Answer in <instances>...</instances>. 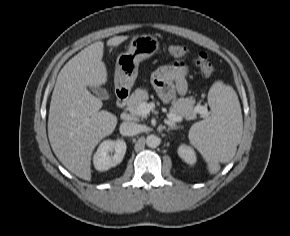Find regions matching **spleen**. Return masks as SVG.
Segmentation results:
<instances>
[{
	"mask_svg": "<svg viewBox=\"0 0 290 236\" xmlns=\"http://www.w3.org/2000/svg\"><path fill=\"white\" fill-rule=\"evenodd\" d=\"M208 103L211 115L193 124L188 136L207 162L209 173L216 174L220 162L234 157L242 137L243 120L238 96L230 85L215 82L209 90Z\"/></svg>",
	"mask_w": 290,
	"mask_h": 236,
	"instance_id": "1",
	"label": "spleen"
}]
</instances>
